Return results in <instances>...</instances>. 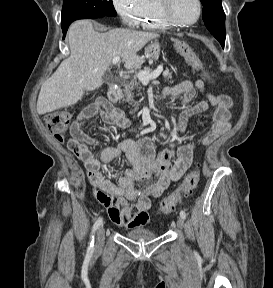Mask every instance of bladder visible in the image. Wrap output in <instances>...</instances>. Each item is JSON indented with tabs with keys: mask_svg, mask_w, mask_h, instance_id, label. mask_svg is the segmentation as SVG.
I'll return each instance as SVG.
<instances>
[{
	"mask_svg": "<svg viewBox=\"0 0 273 288\" xmlns=\"http://www.w3.org/2000/svg\"><path fill=\"white\" fill-rule=\"evenodd\" d=\"M156 235L157 234L154 231L147 228H137L125 233V237L135 241L151 240L154 239Z\"/></svg>",
	"mask_w": 273,
	"mask_h": 288,
	"instance_id": "31cf9c89",
	"label": "bladder"
}]
</instances>
